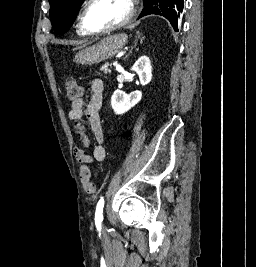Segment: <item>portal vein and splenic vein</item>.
Listing matches in <instances>:
<instances>
[{
	"mask_svg": "<svg viewBox=\"0 0 256 267\" xmlns=\"http://www.w3.org/2000/svg\"><path fill=\"white\" fill-rule=\"evenodd\" d=\"M113 65L116 66V68H117V66L120 65V62H119V61H114V62H113Z\"/></svg>",
	"mask_w": 256,
	"mask_h": 267,
	"instance_id": "1",
	"label": "portal vein and splenic vein"
}]
</instances>
